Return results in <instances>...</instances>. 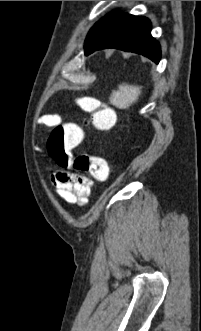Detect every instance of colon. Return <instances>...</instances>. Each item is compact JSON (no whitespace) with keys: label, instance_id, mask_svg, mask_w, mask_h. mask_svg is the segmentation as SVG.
<instances>
[{"label":"colon","instance_id":"colon-1","mask_svg":"<svg viewBox=\"0 0 201 331\" xmlns=\"http://www.w3.org/2000/svg\"><path fill=\"white\" fill-rule=\"evenodd\" d=\"M78 104L90 115L95 130L107 131L115 126L116 113L112 108L91 97L80 98ZM83 138V131L76 124H58L49 136L48 153L61 168L88 173L94 180L106 182L109 177V166L105 159L85 153L75 158L69 155L68 150L79 145Z\"/></svg>","mask_w":201,"mask_h":331}]
</instances>
